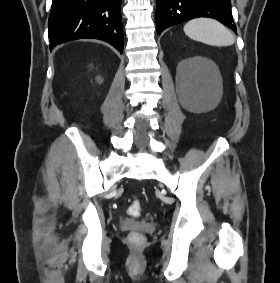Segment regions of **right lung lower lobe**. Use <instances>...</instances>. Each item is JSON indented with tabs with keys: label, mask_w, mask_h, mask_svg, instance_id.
Instances as JSON below:
<instances>
[{
	"label": "right lung lower lobe",
	"mask_w": 280,
	"mask_h": 283,
	"mask_svg": "<svg viewBox=\"0 0 280 283\" xmlns=\"http://www.w3.org/2000/svg\"><path fill=\"white\" fill-rule=\"evenodd\" d=\"M48 28L50 49L68 41L92 38L123 52L121 0H53Z\"/></svg>",
	"instance_id": "obj_1"
}]
</instances>
